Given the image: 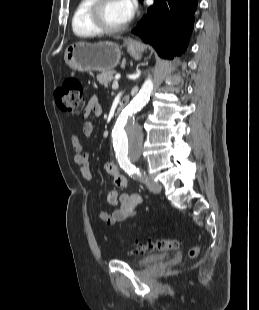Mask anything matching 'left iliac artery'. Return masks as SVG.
Wrapping results in <instances>:
<instances>
[{
  "label": "left iliac artery",
  "mask_w": 259,
  "mask_h": 310,
  "mask_svg": "<svg viewBox=\"0 0 259 310\" xmlns=\"http://www.w3.org/2000/svg\"><path fill=\"white\" fill-rule=\"evenodd\" d=\"M120 166L124 169L125 172L134 178L143 179L145 176V172L141 171L139 168H136L128 160L120 161Z\"/></svg>",
  "instance_id": "obj_1"
}]
</instances>
